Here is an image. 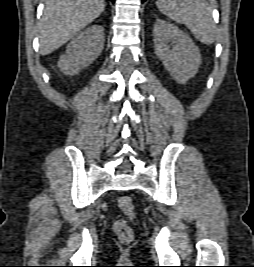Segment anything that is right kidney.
Listing matches in <instances>:
<instances>
[{
  "instance_id": "obj_1",
  "label": "right kidney",
  "mask_w": 254,
  "mask_h": 267,
  "mask_svg": "<svg viewBox=\"0 0 254 267\" xmlns=\"http://www.w3.org/2000/svg\"><path fill=\"white\" fill-rule=\"evenodd\" d=\"M103 46L104 29L93 25L72 39L57 65L65 75L78 74L100 55Z\"/></svg>"
}]
</instances>
